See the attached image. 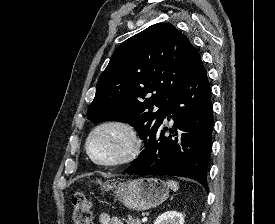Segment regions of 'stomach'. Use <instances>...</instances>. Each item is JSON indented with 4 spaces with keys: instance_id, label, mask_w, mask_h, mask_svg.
Masks as SVG:
<instances>
[{
    "instance_id": "obj_1",
    "label": "stomach",
    "mask_w": 275,
    "mask_h": 224,
    "mask_svg": "<svg viewBox=\"0 0 275 224\" xmlns=\"http://www.w3.org/2000/svg\"><path fill=\"white\" fill-rule=\"evenodd\" d=\"M105 191L115 188L116 198L125 207L135 211H145L162 204L169 195L167 184L157 178H140L117 185L98 182Z\"/></svg>"
}]
</instances>
